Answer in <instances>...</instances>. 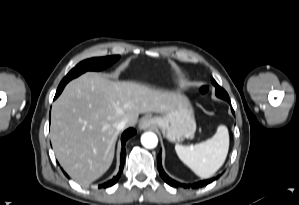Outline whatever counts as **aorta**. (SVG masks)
<instances>
[{
    "instance_id": "762f6f07",
    "label": "aorta",
    "mask_w": 299,
    "mask_h": 205,
    "mask_svg": "<svg viewBox=\"0 0 299 205\" xmlns=\"http://www.w3.org/2000/svg\"><path fill=\"white\" fill-rule=\"evenodd\" d=\"M141 143L145 148L152 149L158 144V138L156 134L152 132H146L141 136Z\"/></svg>"
}]
</instances>
